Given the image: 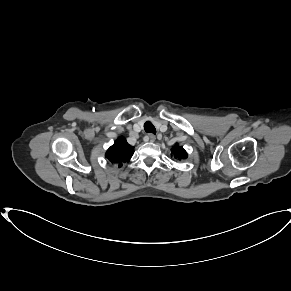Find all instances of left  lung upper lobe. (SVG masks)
<instances>
[{
    "label": "left lung upper lobe",
    "mask_w": 291,
    "mask_h": 291,
    "mask_svg": "<svg viewBox=\"0 0 291 291\" xmlns=\"http://www.w3.org/2000/svg\"><path fill=\"white\" fill-rule=\"evenodd\" d=\"M172 153H173V156L176 158V159H185L187 158V153L186 151L183 149V147H180L178 145H175L173 148H172Z\"/></svg>",
    "instance_id": "1"
}]
</instances>
